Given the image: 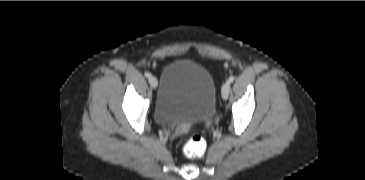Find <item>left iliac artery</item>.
I'll return each mask as SVG.
<instances>
[{
  "instance_id": "1",
  "label": "left iliac artery",
  "mask_w": 365,
  "mask_h": 180,
  "mask_svg": "<svg viewBox=\"0 0 365 180\" xmlns=\"http://www.w3.org/2000/svg\"><path fill=\"white\" fill-rule=\"evenodd\" d=\"M233 81H234V77H233V76H231V77L229 78L228 82H229V83H232Z\"/></svg>"
}]
</instances>
